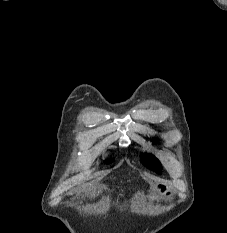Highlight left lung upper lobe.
<instances>
[{
    "instance_id": "5c2ea615",
    "label": "left lung upper lobe",
    "mask_w": 227,
    "mask_h": 233,
    "mask_svg": "<svg viewBox=\"0 0 227 233\" xmlns=\"http://www.w3.org/2000/svg\"><path fill=\"white\" fill-rule=\"evenodd\" d=\"M141 161L146 167H148L154 171H158L160 168V163H159L158 159L150 154L149 155L148 154L141 155Z\"/></svg>"
}]
</instances>
